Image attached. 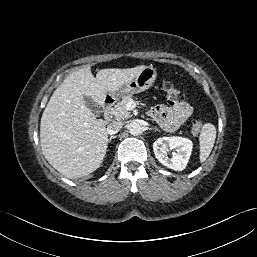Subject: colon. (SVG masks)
I'll list each match as a JSON object with an SVG mask.
<instances>
[{
  "label": "colon",
  "instance_id": "obj_1",
  "mask_svg": "<svg viewBox=\"0 0 257 257\" xmlns=\"http://www.w3.org/2000/svg\"><path fill=\"white\" fill-rule=\"evenodd\" d=\"M163 91H164V95H165L166 99L169 102L179 103L183 100L182 92L171 83L165 84ZM193 126L195 129H200L202 127V123L196 121V122H194Z\"/></svg>",
  "mask_w": 257,
  "mask_h": 257
}]
</instances>
